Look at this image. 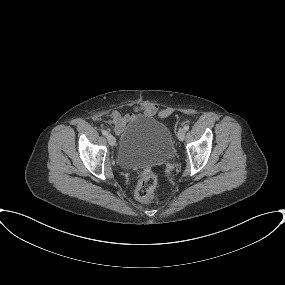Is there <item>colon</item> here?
Wrapping results in <instances>:
<instances>
[{
	"instance_id": "5ec220e1",
	"label": "colon",
	"mask_w": 285,
	"mask_h": 285,
	"mask_svg": "<svg viewBox=\"0 0 285 285\" xmlns=\"http://www.w3.org/2000/svg\"><path fill=\"white\" fill-rule=\"evenodd\" d=\"M156 176L147 172L143 175L135 191V198L139 202H148L153 199L156 188Z\"/></svg>"
}]
</instances>
